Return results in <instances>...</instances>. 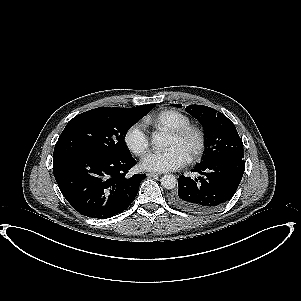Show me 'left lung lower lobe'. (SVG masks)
I'll use <instances>...</instances> for the list:
<instances>
[{
  "instance_id": "0a47b994",
  "label": "left lung lower lobe",
  "mask_w": 301,
  "mask_h": 301,
  "mask_svg": "<svg viewBox=\"0 0 301 301\" xmlns=\"http://www.w3.org/2000/svg\"><path fill=\"white\" fill-rule=\"evenodd\" d=\"M245 169L243 158L229 155L214 160L206 166L196 165L195 179L181 176L179 189L170 195L176 208L190 212H214L228 202L236 192Z\"/></svg>"
}]
</instances>
